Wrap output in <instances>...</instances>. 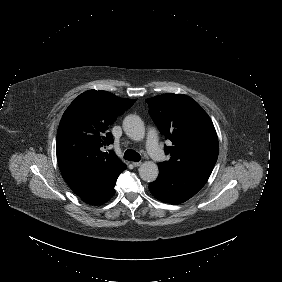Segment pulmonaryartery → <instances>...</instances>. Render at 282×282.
I'll use <instances>...</instances> for the list:
<instances>
[{
    "mask_svg": "<svg viewBox=\"0 0 282 282\" xmlns=\"http://www.w3.org/2000/svg\"><path fill=\"white\" fill-rule=\"evenodd\" d=\"M148 154L154 162H161L164 159V152L161 150L160 143L156 140L155 132L150 131V138L147 141Z\"/></svg>",
    "mask_w": 282,
    "mask_h": 282,
    "instance_id": "pulmonary-artery-1",
    "label": "pulmonary artery"
}]
</instances>
